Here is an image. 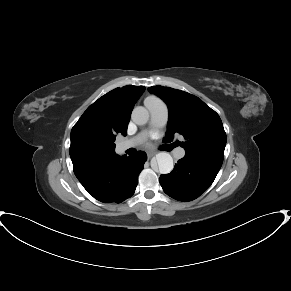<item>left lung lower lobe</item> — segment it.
I'll list each match as a JSON object with an SVG mask.
<instances>
[{"mask_svg": "<svg viewBox=\"0 0 291 291\" xmlns=\"http://www.w3.org/2000/svg\"><path fill=\"white\" fill-rule=\"evenodd\" d=\"M222 163L185 155L173 171L159 178L164 192L179 201H191L205 192L216 178Z\"/></svg>", "mask_w": 291, "mask_h": 291, "instance_id": "1", "label": "left lung lower lobe"}]
</instances>
